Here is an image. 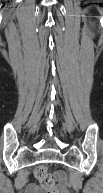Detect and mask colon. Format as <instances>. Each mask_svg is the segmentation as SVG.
<instances>
[{
  "label": "colon",
  "mask_w": 103,
  "mask_h": 193,
  "mask_svg": "<svg viewBox=\"0 0 103 193\" xmlns=\"http://www.w3.org/2000/svg\"><path fill=\"white\" fill-rule=\"evenodd\" d=\"M35 175L42 186L47 190H52L56 184V181L60 179V174L54 176L45 166L38 167Z\"/></svg>",
  "instance_id": "1"
}]
</instances>
